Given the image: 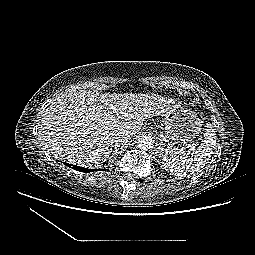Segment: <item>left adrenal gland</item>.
Here are the masks:
<instances>
[{
    "label": "left adrenal gland",
    "mask_w": 255,
    "mask_h": 255,
    "mask_svg": "<svg viewBox=\"0 0 255 255\" xmlns=\"http://www.w3.org/2000/svg\"><path fill=\"white\" fill-rule=\"evenodd\" d=\"M163 141L161 140L160 146H159V151H157L156 153H159L161 149H163ZM158 156L160 157V154H158Z\"/></svg>",
    "instance_id": "a2214340"
}]
</instances>
